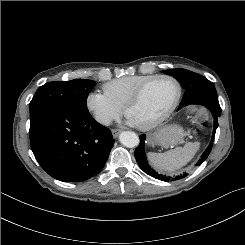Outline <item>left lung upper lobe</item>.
I'll use <instances>...</instances> for the list:
<instances>
[{"mask_svg": "<svg viewBox=\"0 0 245 245\" xmlns=\"http://www.w3.org/2000/svg\"><path fill=\"white\" fill-rule=\"evenodd\" d=\"M162 72L175 77L185 89V94L178 109L200 101H218L214 84L204 76L179 68L164 70Z\"/></svg>", "mask_w": 245, "mask_h": 245, "instance_id": "obj_1", "label": "left lung upper lobe"}]
</instances>
